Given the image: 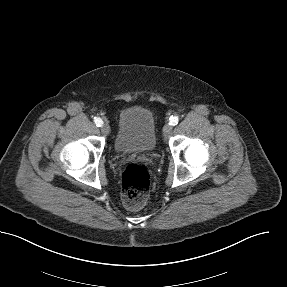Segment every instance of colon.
I'll use <instances>...</instances> for the list:
<instances>
[{
  "label": "colon",
  "instance_id": "obj_1",
  "mask_svg": "<svg viewBox=\"0 0 287 287\" xmlns=\"http://www.w3.org/2000/svg\"><path fill=\"white\" fill-rule=\"evenodd\" d=\"M150 186L151 177L147 167L137 163L128 164L121 176L124 205L132 210L142 208L147 201Z\"/></svg>",
  "mask_w": 287,
  "mask_h": 287
}]
</instances>
